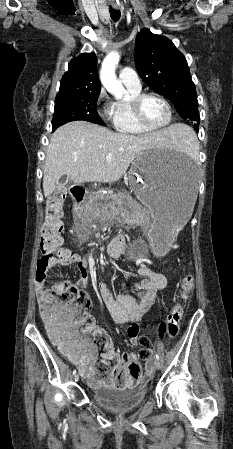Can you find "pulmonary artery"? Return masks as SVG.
<instances>
[{
    "label": "pulmonary artery",
    "instance_id": "pulmonary-artery-1",
    "mask_svg": "<svg viewBox=\"0 0 233 449\" xmlns=\"http://www.w3.org/2000/svg\"><path fill=\"white\" fill-rule=\"evenodd\" d=\"M119 79L126 86L141 88L140 79L131 67L123 68L119 73Z\"/></svg>",
    "mask_w": 233,
    "mask_h": 449
}]
</instances>
